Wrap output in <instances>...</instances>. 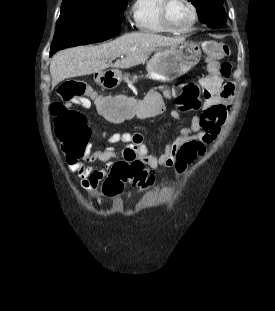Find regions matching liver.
Instances as JSON below:
<instances>
[{"mask_svg": "<svg viewBox=\"0 0 275 311\" xmlns=\"http://www.w3.org/2000/svg\"><path fill=\"white\" fill-rule=\"evenodd\" d=\"M180 38L134 32L98 46H79L57 53L50 63L52 88L66 78L89 75L109 67L108 61L122 57L114 67L127 69L145 62L151 53L181 42ZM124 56V58H123Z\"/></svg>", "mask_w": 275, "mask_h": 311, "instance_id": "6515ba94", "label": "liver"}]
</instances>
